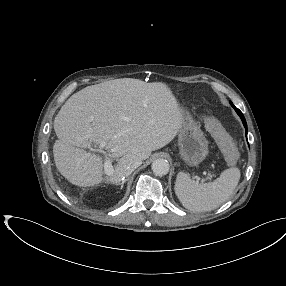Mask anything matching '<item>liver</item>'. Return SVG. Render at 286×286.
I'll list each match as a JSON object with an SVG mask.
<instances>
[{"mask_svg": "<svg viewBox=\"0 0 286 286\" xmlns=\"http://www.w3.org/2000/svg\"><path fill=\"white\" fill-rule=\"evenodd\" d=\"M182 122L177 99L163 82L121 78L87 86L73 94L54 119L55 165L73 185H97L103 180L102 160L84 148L105 143L110 157H121L108 177L119 184L129 160H145L169 144Z\"/></svg>", "mask_w": 286, "mask_h": 286, "instance_id": "liver-1", "label": "liver"}]
</instances>
